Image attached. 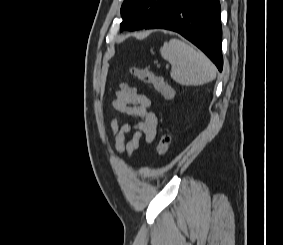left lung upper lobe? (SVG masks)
I'll return each mask as SVG.
<instances>
[{"instance_id": "left-lung-upper-lobe-1", "label": "left lung upper lobe", "mask_w": 283, "mask_h": 245, "mask_svg": "<svg viewBox=\"0 0 283 245\" xmlns=\"http://www.w3.org/2000/svg\"><path fill=\"white\" fill-rule=\"evenodd\" d=\"M173 0H124L121 7L120 30L145 28L159 16Z\"/></svg>"}]
</instances>
